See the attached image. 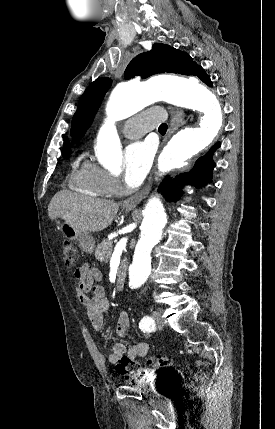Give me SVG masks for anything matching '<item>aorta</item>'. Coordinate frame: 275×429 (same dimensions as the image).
Returning a JSON list of instances; mask_svg holds the SVG:
<instances>
[{"instance_id": "1", "label": "aorta", "mask_w": 275, "mask_h": 429, "mask_svg": "<svg viewBox=\"0 0 275 429\" xmlns=\"http://www.w3.org/2000/svg\"><path fill=\"white\" fill-rule=\"evenodd\" d=\"M163 100L173 105L203 113L197 127H187L175 134L159 157V171L166 173L182 167L185 161L207 147L218 134L224 112L217 94L194 78L159 77L147 82L119 84L106 105V116L97 136L96 154L111 172L120 171L121 145L115 122L144 107ZM167 222L161 201L151 198L145 209L141 233L129 267V285H142L151 273V251L159 242Z\"/></svg>"}]
</instances>
